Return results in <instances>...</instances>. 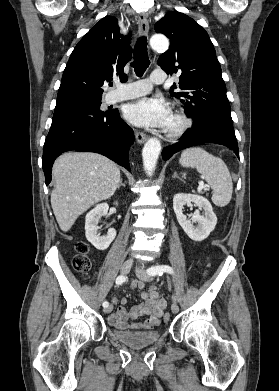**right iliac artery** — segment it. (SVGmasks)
<instances>
[{"label":"right iliac artery","mask_w":279,"mask_h":391,"mask_svg":"<svg viewBox=\"0 0 279 391\" xmlns=\"http://www.w3.org/2000/svg\"><path fill=\"white\" fill-rule=\"evenodd\" d=\"M124 280H125L124 276L120 275L116 278V284L121 285L124 282ZM108 305L109 303L107 301L103 302V307H107Z\"/></svg>","instance_id":"right-iliac-artery-1"}]
</instances>
